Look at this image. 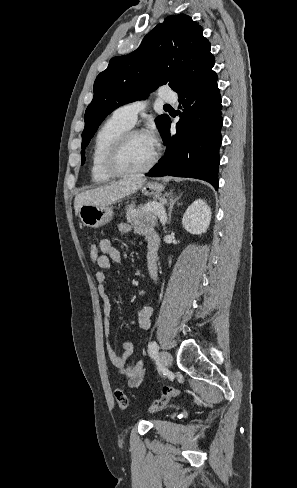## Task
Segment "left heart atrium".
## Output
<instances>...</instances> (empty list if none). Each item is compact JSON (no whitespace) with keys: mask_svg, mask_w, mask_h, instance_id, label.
Returning <instances> with one entry per match:
<instances>
[{"mask_svg":"<svg viewBox=\"0 0 297 488\" xmlns=\"http://www.w3.org/2000/svg\"><path fill=\"white\" fill-rule=\"evenodd\" d=\"M145 136L150 144L156 149L159 144V137L155 127H151L146 133Z\"/></svg>","mask_w":297,"mask_h":488,"instance_id":"obj_1","label":"left heart atrium"}]
</instances>
